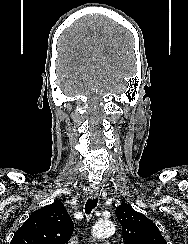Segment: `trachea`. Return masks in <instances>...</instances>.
Returning a JSON list of instances; mask_svg holds the SVG:
<instances>
[{"mask_svg": "<svg viewBox=\"0 0 188 244\" xmlns=\"http://www.w3.org/2000/svg\"><path fill=\"white\" fill-rule=\"evenodd\" d=\"M97 202H98L97 198L94 199L89 198L85 204V213L89 215L92 212V210L97 206Z\"/></svg>", "mask_w": 188, "mask_h": 244, "instance_id": "3493384b", "label": "trachea"}]
</instances>
